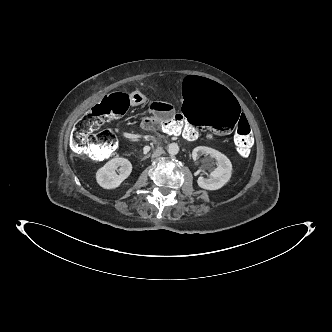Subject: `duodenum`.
I'll return each instance as SVG.
<instances>
[{
  "label": "duodenum",
  "mask_w": 332,
  "mask_h": 332,
  "mask_svg": "<svg viewBox=\"0 0 332 332\" xmlns=\"http://www.w3.org/2000/svg\"><path fill=\"white\" fill-rule=\"evenodd\" d=\"M159 124H160V120L158 118H154L152 120V125L154 127H157ZM169 134L182 137L187 141L194 140L192 133L188 130H179V131L169 132Z\"/></svg>",
  "instance_id": "410a0bca"
}]
</instances>
